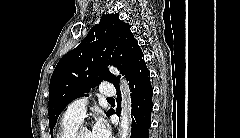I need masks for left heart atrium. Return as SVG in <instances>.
I'll list each match as a JSON object with an SVG mask.
<instances>
[{"mask_svg":"<svg viewBox=\"0 0 240 138\" xmlns=\"http://www.w3.org/2000/svg\"><path fill=\"white\" fill-rule=\"evenodd\" d=\"M91 132L94 138H107L110 133L106 122L102 118L97 119Z\"/></svg>","mask_w":240,"mask_h":138,"instance_id":"obj_1","label":"left heart atrium"}]
</instances>
